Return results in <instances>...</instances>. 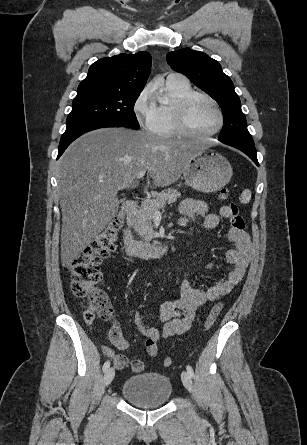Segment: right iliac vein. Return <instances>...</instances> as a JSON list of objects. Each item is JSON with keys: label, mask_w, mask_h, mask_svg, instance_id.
Masks as SVG:
<instances>
[{"label": "right iliac vein", "mask_w": 307, "mask_h": 445, "mask_svg": "<svg viewBox=\"0 0 307 445\" xmlns=\"http://www.w3.org/2000/svg\"><path fill=\"white\" fill-rule=\"evenodd\" d=\"M115 376V370L113 367L109 368L106 370L105 375H104V379H103V383L104 386H108L114 379Z\"/></svg>", "instance_id": "1"}]
</instances>
